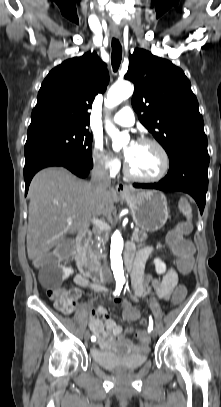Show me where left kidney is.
<instances>
[{"label": "left kidney", "mask_w": 221, "mask_h": 407, "mask_svg": "<svg viewBox=\"0 0 221 407\" xmlns=\"http://www.w3.org/2000/svg\"><path fill=\"white\" fill-rule=\"evenodd\" d=\"M155 270L157 274H163L166 272V264L159 258L154 260Z\"/></svg>", "instance_id": "left-kidney-1"}]
</instances>
